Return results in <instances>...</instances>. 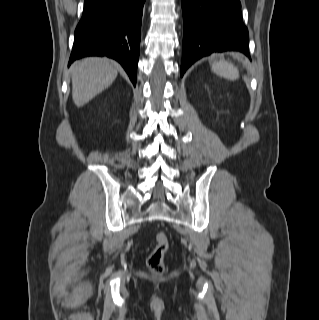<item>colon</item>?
Masks as SVG:
<instances>
[{
	"label": "colon",
	"instance_id": "colon-1",
	"mask_svg": "<svg viewBox=\"0 0 319 320\" xmlns=\"http://www.w3.org/2000/svg\"><path fill=\"white\" fill-rule=\"evenodd\" d=\"M156 244L148 258V266L154 273H162L164 270L163 258L169 248V239L164 232L155 235Z\"/></svg>",
	"mask_w": 319,
	"mask_h": 320
}]
</instances>
